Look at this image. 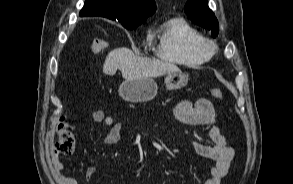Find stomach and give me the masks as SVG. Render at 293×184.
Returning a JSON list of instances; mask_svg holds the SVG:
<instances>
[{
	"mask_svg": "<svg viewBox=\"0 0 293 184\" xmlns=\"http://www.w3.org/2000/svg\"><path fill=\"white\" fill-rule=\"evenodd\" d=\"M164 83L169 90H177L188 83V75L179 72L167 73ZM157 83L151 77L126 79L119 86V95L128 102L141 103L152 100L157 94Z\"/></svg>",
	"mask_w": 293,
	"mask_h": 184,
	"instance_id": "stomach-1",
	"label": "stomach"
}]
</instances>
